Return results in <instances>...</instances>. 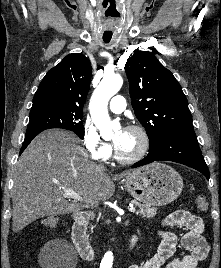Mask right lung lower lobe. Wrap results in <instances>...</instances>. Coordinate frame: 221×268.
I'll return each mask as SVG.
<instances>
[{
	"label": "right lung lower lobe",
	"instance_id": "98d812e1",
	"mask_svg": "<svg viewBox=\"0 0 221 268\" xmlns=\"http://www.w3.org/2000/svg\"><path fill=\"white\" fill-rule=\"evenodd\" d=\"M42 131H35L25 134V140L22 145V148L20 149V154L25 150V148L28 146V144L32 141V139L37 136Z\"/></svg>",
	"mask_w": 221,
	"mask_h": 268
}]
</instances>
